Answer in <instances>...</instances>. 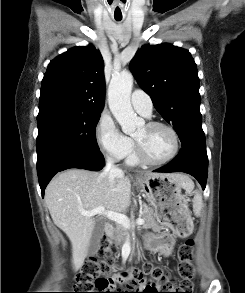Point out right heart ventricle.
Masks as SVG:
<instances>
[{
    "label": "right heart ventricle",
    "mask_w": 245,
    "mask_h": 293,
    "mask_svg": "<svg viewBox=\"0 0 245 293\" xmlns=\"http://www.w3.org/2000/svg\"><path fill=\"white\" fill-rule=\"evenodd\" d=\"M127 163L129 165H137L140 163V161L138 160L136 154L134 152H130L128 155H127V159H126Z\"/></svg>",
    "instance_id": "obj_1"
}]
</instances>
